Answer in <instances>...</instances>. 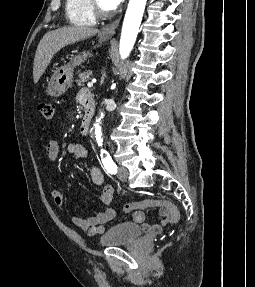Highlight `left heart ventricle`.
Returning <instances> with one entry per match:
<instances>
[{
  "label": "left heart ventricle",
  "mask_w": 255,
  "mask_h": 287,
  "mask_svg": "<svg viewBox=\"0 0 255 287\" xmlns=\"http://www.w3.org/2000/svg\"><path fill=\"white\" fill-rule=\"evenodd\" d=\"M117 39H121V38H117ZM110 48H127V47H110Z\"/></svg>",
  "instance_id": "b2bd125f"
}]
</instances>
